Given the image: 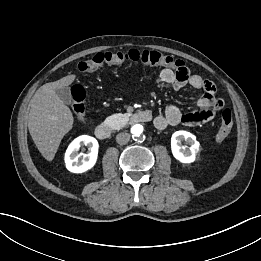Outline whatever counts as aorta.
<instances>
[{"instance_id":"1","label":"aorta","mask_w":261,"mask_h":261,"mask_svg":"<svg viewBox=\"0 0 261 261\" xmlns=\"http://www.w3.org/2000/svg\"><path fill=\"white\" fill-rule=\"evenodd\" d=\"M144 128L141 124H135L131 127V133L134 138L140 139L143 137Z\"/></svg>"}]
</instances>
